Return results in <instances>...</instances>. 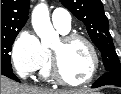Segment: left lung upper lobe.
<instances>
[{"label": "left lung upper lobe", "mask_w": 121, "mask_h": 94, "mask_svg": "<svg viewBox=\"0 0 121 94\" xmlns=\"http://www.w3.org/2000/svg\"><path fill=\"white\" fill-rule=\"evenodd\" d=\"M60 2L85 24L91 40L102 54L107 72L121 71L102 2L100 0H60Z\"/></svg>", "instance_id": "left-lung-upper-lobe-1"}]
</instances>
